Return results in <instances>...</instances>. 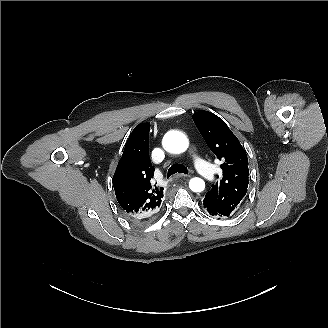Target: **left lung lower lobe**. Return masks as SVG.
<instances>
[{"instance_id":"left-lung-lower-lobe-1","label":"left lung lower lobe","mask_w":328,"mask_h":328,"mask_svg":"<svg viewBox=\"0 0 328 328\" xmlns=\"http://www.w3.org/2000/svg\"><path fill=\"white\" fill-rule=\"evenodd\" d=\"M204 208L207 210L208 213L211 215H219L222 216V214L215 211L211 206H209L206 202L203 201Z\"/></svg>"}]
</instances>
